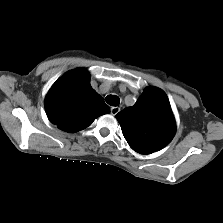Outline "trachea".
<instances>
[{"label": "trachea", "mask_w": 223, "mask_h": 223, "mask_svg": "<svg viewBox=\"0 0 223 223\" xmlns=\"http://www.w3.org/2000/svg\"><path fill=\"white\" fill-rule=\"evenodd\" d=\"M105 100L111 106H118L120 103L119 97L115 95H108Z\"/></svg>", "instance_id": "1"}]
</instances>
